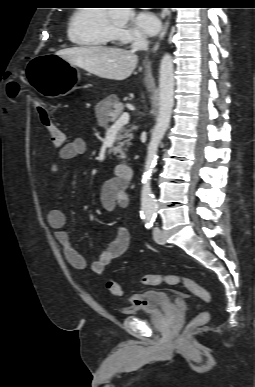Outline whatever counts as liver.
Here are the masks:
<instances>
[{
	"label": "liver",
	"instance_id": "obj_1",
	"mask_svg": "<svg viewBox=\"0 0 255 387\" xmlns=\"http://www.w3.org/2000/svg\"><path fill=\"white\" fill-rule=\"evenodd\" d=\"M56 55L100 78L121 81L128 78L138 63L133 50L89 46L62 49Z\"/></svg>",
	"mask_w": 255,
	"mask_h": 387
}]
</instances>
